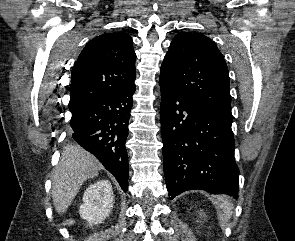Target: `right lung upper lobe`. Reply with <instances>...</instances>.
<instances>
[{"mask_svg":"<svg viewBox=\"0 0 295 241\" xmlns=\"http://www.w3.org/2000/svg\"><path fill=\"white\" fill-rule=\"evenodd\" d=\"M132 44L128 34L119 32L97 36L85 46L72 70L69 108L134 85L136 54Z\"/></svg>","mask_w":295,"mask_h":241,"instance_id":"cb5924a9","label":"right lung upper lobe"}]
</instances>
